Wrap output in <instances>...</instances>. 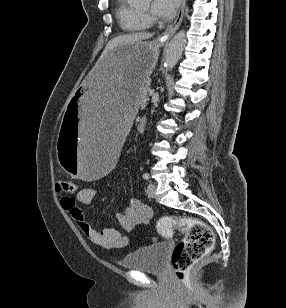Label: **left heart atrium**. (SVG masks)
Instances as JSON below:
<instances>
[{
  "instance_id": "1",
  "label": "left heart atrium",
  "mask_w": 286,
  "mask_h": 308,
  "mask_svg": "<svg viewBox=\"0 0 286 308\" xmlns=\"http://www.w3.org/2000/svg\"><path fill=\"white\" fill-rule=\"evenodd\" d=\"M179 0H153L151 12L161 19H168L175 13Z\"/></svg>"
}]
</instances>
